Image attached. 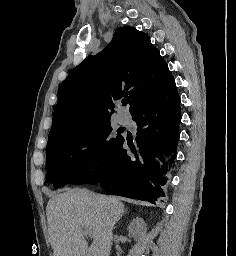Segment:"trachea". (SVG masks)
Returning <instances> with one entry per match:
<instances>
[{"label": "trachea", "instance_id": "obj_1", "mask_svg": "<svg viewBox=\"0 0 236 256\" xmlns=\"http://www.w3.org/2000/svg\"><path fill=\"white\" fill-rule=\"evenodd\" d=\"M127 103H129V100L128 99H124L123 101H122V105H126Z\"/></svg>", "mask_w": 236, "mask_h": 256}]
</instances>
